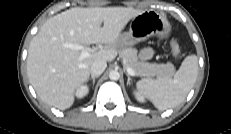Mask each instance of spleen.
Masks as SVG:
<instances>
[{
  "label": "spleen",
  "mask_w": 231,
  "mask_h": 134,
  "mask_svg": "<svg viewBox=\"0 0 231 134\" xmlns=\"http://www.w3.org/2000/svg\"><path fill=\"white\" fill-rule=\"evenodd\" d=\"M198 76V58L187 56L173 77L158 79L144 78L137 82V88L154 106L163 111L181 104Z\"/></svg>",
  "instance_id": "3e777b00"
}]
</instances>
